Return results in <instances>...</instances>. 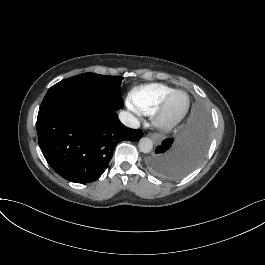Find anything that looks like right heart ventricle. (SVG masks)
Segmentation results:
<instances>
[{
	"label": "right heart ventricle",
	"mask_w": 265,
	"mask_h": 265,
	"mask_svg": "<svg viewBox=\"0 0 265 265\" xmlns=\"http://www.w3.org/2000/svg\"><path fill=\"white\" fill-rule=\"evenodd\" d=\"M173 91L175 90L162 85L137 89L132 95L133 107L142 115L152 116Z\"/></svg>",
	"instance_id": "e07e8e85"
}]
</instances>
